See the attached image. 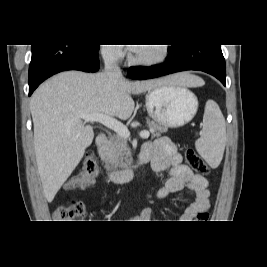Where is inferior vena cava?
<instances>
[{"label":"inferior vena cava","instance_id":"602c4592","mask_svg":"<svg viewBox=\"0 0 267 267\" xmlns=\"http://www.w3.org/2000/svg\"><path fill=\"white\" fill-rule=\"evenodd\" d=\"M105 68L104 73L110 79H119L122 78V72L120 67L118 66V55L114 49L108 50L103 55Z\"/></svg>","mask_w":267,"mask_h":267}]
</instances>
